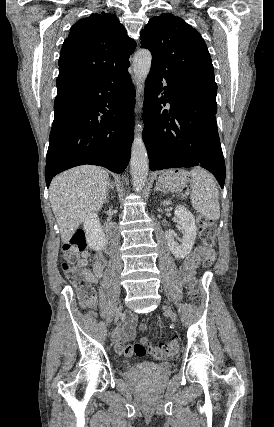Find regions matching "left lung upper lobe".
I'll return each instance as SVG.
<instances>
[{
	"label": "left lung upper lobe",
	"mask_w": 274,
	"mask_h": 427,
	"mask_svg": "<svg viewBox=\"0 0 274 427\" xmlns=\"http://www.w3.org/2000/svg\"><path fill=\"white\" fill-rule=\"evenodd\" d=\"M152 65L182 80L217 90L207 46L193 27L170 13L153 17L140 33Z\"/></svg>",
	"instance_id": "left-lung-upper-lobe-1"
}]
</instances>
